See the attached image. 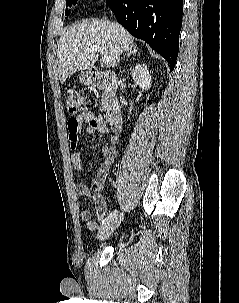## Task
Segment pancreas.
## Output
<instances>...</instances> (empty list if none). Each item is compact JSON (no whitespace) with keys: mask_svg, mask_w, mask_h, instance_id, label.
<instances>
[{"mask_svg":"<svg viewBox=\"0 0 239 303\" xmlns=\"http://www.w3.org/2000/svg\"><path fill=\"white\" fill-rule=\"evenodd\" d=\"M102 107H103L104 109L106 108L104 96L102 97Z\"/></svg>","mask_w":239,"mask_h":303,"instance_id":"1","label":"pancreas"}]
</instances>
